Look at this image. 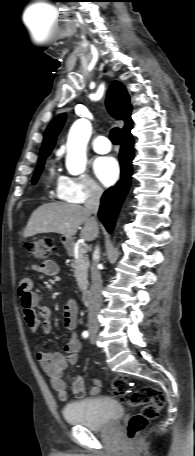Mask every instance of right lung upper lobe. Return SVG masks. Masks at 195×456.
<instances>
[{
    "mask_svg": "<svg viewBox=\"0 0 195 456\" xmlns=\"http://www.w3.org/2000/svg\"><path fill=\"white\" fill-rule=\"evenodd\" d=\"M129 101V96L123 84L118 81L112 82L109 87L106 105L109 113L115 119L125 121V126L122 129L123 135L129 133L132 128V120L130 118L131 106ZM64 121L65 114L59 115L55 117L47 127L39 159L47 157L50 154Z\"/></svg>",
    "mask_w": 195,
    "mask_h": 456,
    "instance_id": "right-lung-upper-lobe-1",
    "label": "right lung upper lobe"
}]
</instances>
